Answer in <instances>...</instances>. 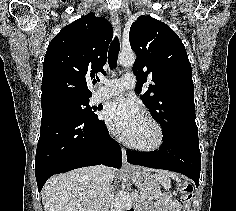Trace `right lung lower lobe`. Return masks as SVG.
<instances>
[{"label":"right lung lower lobe","instance_id":"1","mask_svg":"<svg viewBox=\"0 0 236 211\" xmlns=\"http://www.w3.org/2000/svg\"><path fill=\"white\" fill-rule=\"evenodd\" d=\"M121 161V148L109 136L104 121L63 114L42 116L35 158L39 191L54 174L99 164L120 168Z\"/></svg>","mask_w":236,"mask_h":211}]
</instances>
